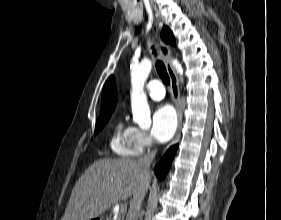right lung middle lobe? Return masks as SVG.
<instances>
[{
  "mask_svg": "<svg viewBox=\"0 0 281 220\" xmlns=\"http://www.w3.org/2000/svg\"><path fill=\"white\" fill-rule=\"evenodd\" d=\"M111 115L100 116L96 122L95 133H98L107 123Z\"/></svg>",
  "mask_w": 281,
  "mask_h": 220,
  "instance_id": "right-lung-middle-lobe-1",
  "label": "right lung middle lobe"
}]
</instances>
